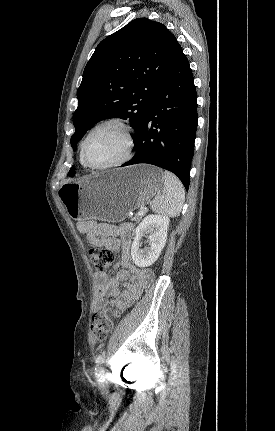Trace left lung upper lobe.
Returning <instances> with one entry per match:
<instances>
[{
  "label": "left lung upper lobe",
  "mask_w": 275,
  "mask_h": 431,
  "mask_svg": "<svg viewBox=\"0 0 275 431\" xmlns=\"http://www.w3.org/2000/svg\"><path fill=\"white\" fill-rule=\"evenodd\" d=\"M180 49L165 25L147 18L135 19L101 41L77 90L73 150L86 131L104 119H129L137 134ZM73 175L72 167L68 176Z\"/></svg>",
  "instance_id": "5c2ea615"
}]
</instances>
